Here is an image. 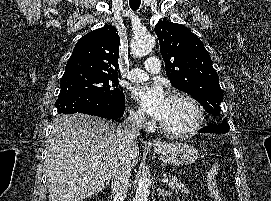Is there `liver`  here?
Segmentation results:
<instances>
[{"mask_svg":"<svg viewBox=\"0 0 271 201\" xmlns=\"http://www.w3.org/2000/svg\"><path fill=\"white\" fill-rule=\"evenodd\" d=\"M118 125L85 114L57 116L48 139L45 162L49 201H81L109 183L123 150ZM131 166L138 163L139 147L129 148Z\"/></svg>","mask_w":271,"mask_h":201,"instance_id":"6515ba94","label":"liver"}]
</instances>
